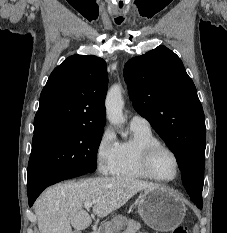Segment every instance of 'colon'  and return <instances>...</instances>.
Masks as SVG:
<instances>
[{
    "mask_svg": "<svg viewBox=\"0 0 227 233\" xmlns=\"http://www.w3.org/2000/svg\"><path fill=\"white\" fill-rule=\"evenodd\" d=\"M171 233H188V230L185 226H179L174 229Z\"/></svg>",
    "mask_w": 227,
    "mask_h": 233,
    "instance_id": "colon-1",
    "label": "colon"
}]
</instances>
